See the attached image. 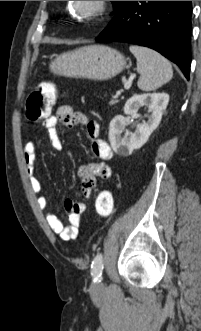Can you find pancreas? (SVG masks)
<instances>
[{
    "instance_id": "1",
    "label": "pancreas",
    "mask_w": 201,
    "mask_h": 331,
    "mask_svg": "<svg viewBox=\"0 0 201 331\" xmlns=\"http://www.w3.org/2000/svg\"><path fill=\"white\" fill-rule=\"evenodd\" d=\"M117 98H118L117 95L114 96V98L109 102V104H110V105H114V104L118 103L119 101H118Z\"/></svg>"
}]
</instances>
